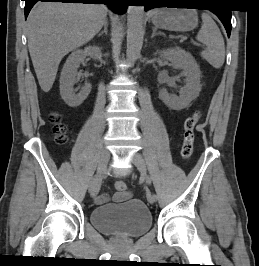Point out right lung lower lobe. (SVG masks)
<instances>
[{
  "instance_id": "1",
  "label": "right lung lower lobe",
  "mask_w": 259,
  "mask_h": 266,
  "mask_svg": "<svg viewBox=\"0 0 259 266\" xmlns=\"http://www.w3.org/2000/svg\"><path fill=\"white\" fill-rule=\"evenodd\" d=\"M62 2V3H84V4H104L112 11L118 14H124L127 6L130 4L129 0H25V18H27L33 5L38 2Z\"/></svg>"
}]
</instances>
